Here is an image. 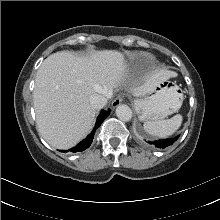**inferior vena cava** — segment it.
<instances>
[{"mask_svg":"<svg viewBox=\"0 0 220 220\" xmlns=\"http://www.w3.org/2000/svg\"><path fill=\"white\" fill-rule=\"evenodd\" d=\"M110 97V92L108 90L103 93H96L90 97V104L94 109H100L104 107Z\"/></svg>","mask_w":220,"mask_h":220,"instance_id":"602c4592","label":"inferior vena cava"}]
</instances>
